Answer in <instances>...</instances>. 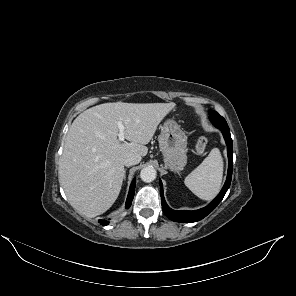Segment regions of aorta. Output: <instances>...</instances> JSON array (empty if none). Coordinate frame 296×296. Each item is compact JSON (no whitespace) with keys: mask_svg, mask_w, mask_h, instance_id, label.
Returning a JSON list of instances; mask_svg holds the SVG:
<instances>
[{"mask_svg":"<svg viewBox=\"0 0 296 296\" xmlns=\"http://www.w3.org/2000/svg\"><path fill=\"white\" fill-rule=\"evenodd\" d=\"M140 178L144 182H152L156 178V170L153 167H145L140 172Z\"/></svg>","mask_w":296,"mask_h":296,"instance_id":"1","label":"aorta"}]
</instances>
